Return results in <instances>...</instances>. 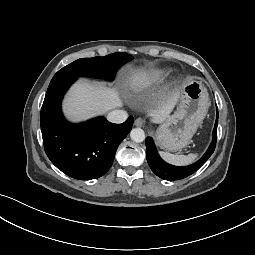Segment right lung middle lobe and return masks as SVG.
Masks as SVG:
<instances>
[{"label": "right lung middle lobe", "instance_id": "right-lung-middle-lobe-1", "mask_svg": "<svg viewBox=\"0 0 255 255\" xmlns=\"http://www.w3.org/2000/svg\"><path fill=\"white\" fill-rule=\"evenodd\" d=\"M132 59L133 56L120 52L104 57L81 58L60 69L51 82L77 77L113 80L117 70Z\"/></svg>", "mask_w": 255, "mask_h": 255}]
</instances>
